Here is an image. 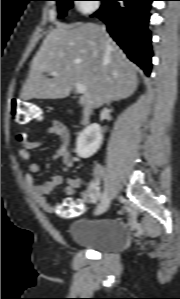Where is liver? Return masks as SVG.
Wrapping results in <instances>:
<instances>
[{"mask_svg": "<svg viewBox=\"0 0 180 299\" xmlns=\"http://www.w3.org/2000/svg\"><path fill=\"white\" fill-rule=\"evenodd\" d=\"M136 71V66L99 25L57 24L32 60L21 98H65L78 82L87 88L80 105L95 109L131 96L138 86ZM52 72L59 75H45Z\"/></svg>", "mask_w": 180, "mask_h": 299, "instance_id": "6515ba94", "label": "liver"}]
</instances>
